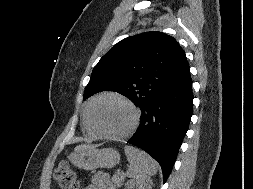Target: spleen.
<instances>
[{"mask_svg": "<svg viewBox=\"0 0 253 189\" xmlns=\"http://www.w3.org/2000/svg\"><path fill=\"white\" fill-rule=\"evenodd\" d=\"M124 150L130 163L128 177L142 180L156 174L158 165L150 155L133 146H125Z\"/></svg>", "mask_w": 253, "mask_h": 189, "instance_id": "3e777b00", "label": "spleen"}]
</instances>
